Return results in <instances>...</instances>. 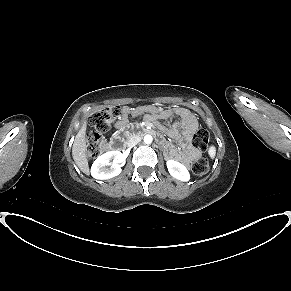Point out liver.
<instances>
[{"instance_id": "1", "label": "liver", "mask_w": 291, "mask_h": 291, "mask_svg": "<svg viewBox=\"0 0 291 291\" xmlns=\"http://www.w3.org/2000/svg\"><path fill=\"white\" fill-rule=\"evenodd\" d=\"M85 133H86V123L82 125L81 129L79 130L75 137L72 147V156L79 169L86 175H89V164L86 155Z\"/></svg>"}]
</instances>
